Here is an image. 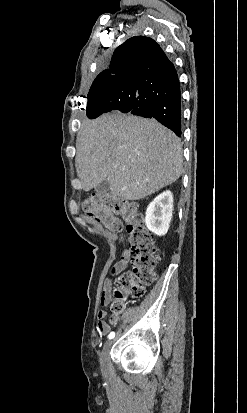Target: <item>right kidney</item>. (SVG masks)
I'll return each mask as SVG.
<instances>
[{
	"mask_svg": "<svg viewBox=\"0 0 247 413\" xmlns=\"http://www.w3.org/2000/svg\"><path fill=\"white\" fill-rule=\"evenodd\" d=\"M173 213V194L171 190H164L161 194H158L152 202H150L149 207L145 213V223L147 229L162 237L166 235Z\"/></svg>",
	"mask_w": 247,
	"mask_h": 413,
	"instance_id": "obj_1",
	"label": "right kidney"
}]
</instances>
